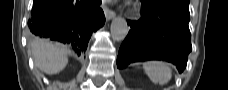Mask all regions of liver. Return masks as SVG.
Masks as SVG:
<instances>
[{"instance_id": "obj_1", "label": "liver", "mask_w": 228, "mask_h": 90, "mask_svg": "<svg viewBox=\"0 0 228 90\" xmlns=\"http://www.w3.org/2000/svg\"><path fill=\"white\" fill-rule=\"evenodd\" d=\"M31 46L35 65L46 74H57L68 63L65 51L57 44L36 39Z\"/></svg>"}]
</instances>
